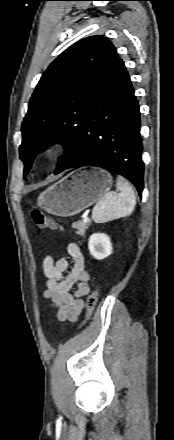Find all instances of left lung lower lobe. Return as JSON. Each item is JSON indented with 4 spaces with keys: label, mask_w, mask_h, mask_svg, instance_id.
<instances>
[{
    "label": "left lung lower lobe",
    "mask_w": 174,
    "mask_h": 440,
    "mask_svg": "<svg viewBox=\"0 0 174 440\" xmlns=\"http://www.w3.org/2000/svg\"><path fill=\"white\" fill-rule=\"evenodd\" d=\"M140 126L139 105L120 59L86 117L80 151L60 172L80 166L106 168L130 180L141 196L144 164Z\"/></svg>",
    "instance_id": "0a47b994"
}]
</instances>
